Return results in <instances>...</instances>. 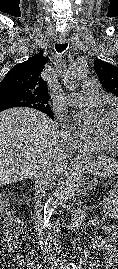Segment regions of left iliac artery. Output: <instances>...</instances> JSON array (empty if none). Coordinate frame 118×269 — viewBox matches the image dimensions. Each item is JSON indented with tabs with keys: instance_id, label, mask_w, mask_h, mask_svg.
Masks as SVG:
<instances>
[{
	"instance_id": "obj_1",
	"label": "left iliac artery",
	"mask_w": 118,
	"mask_h": 269,
	"mask_svg": "<svg viewBox=\"0 0 118 269\" xmlns=\"http://www.w3.org/2000/svg\"><path fill=\"white\" fill-rule=\"evenodd\" d=\"M67 269H78V268L74 263L68 262L67 263Z\"/></svg>"
}]
</instances>
